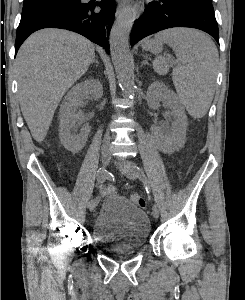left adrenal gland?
Masks as SVG:
<instances>
[{
  "label": "left adrenal gland",
  "mask_w": 245,
  "mask_h": 300,
  "mask_svg": "<svg viewBox=\"0 0 245 300\" xmlns=\"http://www.w3.org/2000/svg\"><path fill=\"white\" fill-rule=\"evenodd\" d=\"M143 65H149L148 61L147 60H144L142 63H141V66Z\"/></svg>",
  "instance_id": "1"
}]
</instances>
